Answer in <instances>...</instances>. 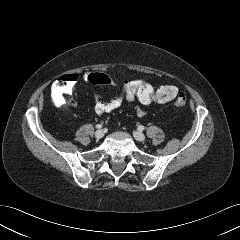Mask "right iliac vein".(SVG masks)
Returning <instances> with one entry per match:
<instances>
[{
    "instance_id": "63e3f726",
    "label": "right iliac vein",
    "mask_w": 240,
    "mask_h": 240,
    "mask_svg": "<svg viewBox=\"0 0 240 240\" xmlns=\"http://www.w3.org/2000/svg\"><path fill=\"white\" fill-rule=\"evenodd\" d=\"M103 136H104V131H103L102 129L97 130V131L95 132V137H96L97 139H101Z\"/></svg>"
}]
</instances>
